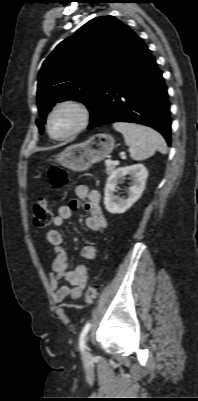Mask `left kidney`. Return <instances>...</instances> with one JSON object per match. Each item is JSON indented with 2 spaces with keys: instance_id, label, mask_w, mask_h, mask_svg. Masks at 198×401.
I'll return each instance as SVG.
<instances>
[{
  "instance_id": "obj_1",
  "label": "left kidney",
  "mask_w": 198,
  "mask_h": 401,
  "mask_svg": "<svg viewBox=\"0 0 198 401\" xmlns=\"http://www.w3.org/2000/svg\"><path fill=\"white\" fill-rule=\"evenodd\" d=\"M126 175L133 177V185L129 188L128 198L119 199L114 195L115 188ZM147 177L148 171L142 164L120 167L113 171L107 179L104 190V205L107 211L112 214H122L128 210L141 197Z\"/></svg>"
}]
</instances>
